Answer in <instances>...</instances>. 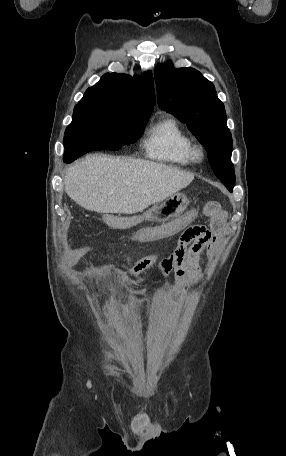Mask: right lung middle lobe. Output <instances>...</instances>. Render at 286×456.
Here are the masks:
<instances>
[{"instance_id":"1","label":"right lung middle lobe","mask_w":286,"mask_h":456,"mask_svg":"<svg viewBox=\"0 0 286 456\" xmlns=\"http://www.w3.org/2000/svg\"><path fill=\"white\" fill-rule=\"evenodd\" d=\"M150 116L76 105L64 135L65 163L92 150H119L138 140Z\"/></svg>"}]
</instances>
